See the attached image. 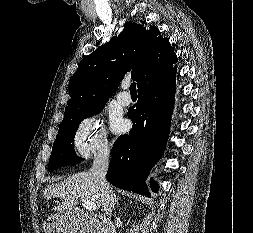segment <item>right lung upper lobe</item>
<instances>
[{"mask_svg": "<svg viewBox=\"0 0 253 233\" xmlns=\"http://www.w3.org/2000/svg\"><path fill=\"white\" fill-rule=\"evenodd\" d=\"M177 56L169 40L146 22H126L123 31L85 56L69 82L64 119L108 101L126 73L138 89L173 68Z\"/></svg>", "mask_w": 253, "mask_h": 233, "instance_id": "obj_1", "label": "right lung upper lobe"}]
</instances>
